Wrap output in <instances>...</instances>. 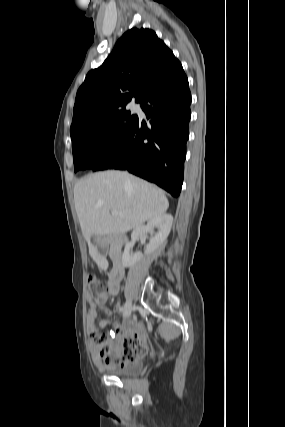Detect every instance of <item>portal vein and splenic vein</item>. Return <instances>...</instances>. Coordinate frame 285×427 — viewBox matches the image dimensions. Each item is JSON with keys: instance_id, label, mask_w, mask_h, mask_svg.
<instances>
[{"instance_id": "obj_1", "label": "portal vein and splenic vein", "mask_w": 285, "mask_h": 427, "mask_svg": "<svg viewBox=\"0 0 285 427\" xmlns=\"http://www.w3.org/2000/svg\"><path fill=\"white\" fill-rule=\"evenodd\" d=\"M112 216H117L119 213L117 210H112L111 211Z\"/></svg>"}]
</instances>
